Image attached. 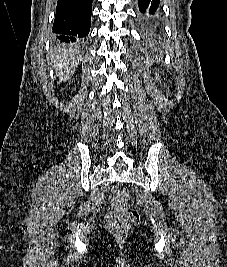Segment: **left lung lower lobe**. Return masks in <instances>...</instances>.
Returning <instances> with one entry per match:
<instances>
[{
	"label": "left lung lower lobe",
	"mask_w": 227,
	"mask_h": 267,
	"mask_svg": "<svg viewBox=\"0 0 227 267\" xmlns=\"http://www.w3.org/2000/svg\"><path fill=\"white\" fill-rule=\"evenodd\" d=\"M160 0H138L139 11L143 14L145 26L148 30L154 31L159 28L155 20Z\"/></svg>",
	"instance_id": "0a47b994"
}]
</instances>
